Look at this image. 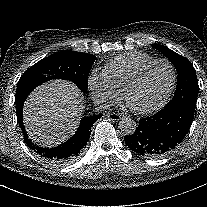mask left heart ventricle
<instances>
[{"label":"left heart ventricle","mask_w":207,"mask_h":207,"mask_svg":"<svg viewBox=\"0 0 207 207\" xmlns=\"http://www.w3.org/2000/svg\"><path fill=\"white\" fill-rule=\"evenodd\" d=\"M170 84V68L162 63L155 64L132 88L127 97V104L136 111H149L162 105Z\"/></svg>","instance_id":"left-heart-ventricle-1"}]
</instances>
